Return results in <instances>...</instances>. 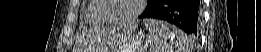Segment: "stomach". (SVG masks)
I'll list each match as a JSON object with an SVG mask.
<instances>
[{"label": "stomach", "mask_w": 261, "mask_h": 52, "mask_svg": "<svg viewBox=\"0 0 261 52\" xmlns=\"http://www.w3.org/2000/svg\"><path fill=\"white\" fill-rule=\"evenodd\" d=\"M147 43L144 34H136L122 39L112 50L114 52H144L143 48Z\"/></svg>", "instance_id": "stomach-1"}]
</instances>
